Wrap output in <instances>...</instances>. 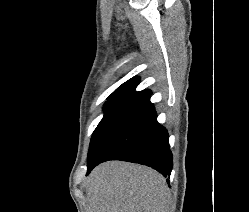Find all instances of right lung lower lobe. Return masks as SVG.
Masks as SVG:
<instances>
[{"mask_svg":"<svg viewBox=\"0 0 249 212\" xmlns=\"http://www.w3.org/2000/svg\"><path fill=\"white\" fill-rule=\"evenodd\" d=\"M151 94L133 100L109 126L88 159L87 175L98 164L122 160L150 166L164 177L172 170L167 130L157 122Z\"/></svg>","mask_w":249,"mask_h":212,"instance_id":"1","label":"right lung lower lobe"}]
</instances>
